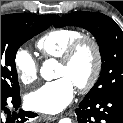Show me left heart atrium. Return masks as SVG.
<instances>
[{"mask_svg":"<svg viewBox=\"0 0 123 123\" xmlns=\"http://www.w3.org/2000/svg\"><path fill=\"white\" fill-rule=\"evenodd\" d=\"M74 97V85L67 77L45 83L26 96L27 106L42 113L62 111Z\"/></svg>","mask_w":123,"mask_h":123,"instance_id":"1","label":"left heart atrium"}]
</instances>
